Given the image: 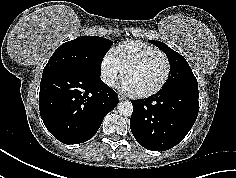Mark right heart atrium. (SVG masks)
<instances>
[{
    "label": "right heart atrium",
    "mask_w": 236,
    "mask_h": 178,
    "mask_svg": "<svg viewBox=\"0 0 236 178\" xmlns=\"http://www.w3.org/2000/svg\"><path fill=\"white\" fill-rule=\"evenodd\" d=\"M99 68L101 80L109 87H115L123 76V68L117 63L111 52L103 55Z\"/></svg>",
    "instance_id": "1"
}]
</instances>
